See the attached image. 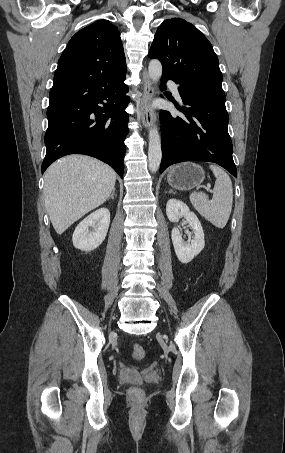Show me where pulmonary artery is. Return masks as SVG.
<instances>
[{
  "label": "pulmonary artery",
  "instance_id": "pulmonary-artery-1",
  "mask_svg": "<svg viewBox=\"0 0 285 453\" xmlns=\"http://www.w3.org/2000/svg\"><path fill=\"white\" fill-rule=\"evenodd\" d=\"M168 85H169L173 95L176 97V99L181 100V95H180L178 85L173 81H169Z\"/></svg>",
  "mask_w": 285,
  "mask_h": 453
}]
</instances>
